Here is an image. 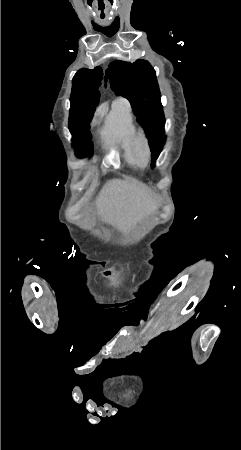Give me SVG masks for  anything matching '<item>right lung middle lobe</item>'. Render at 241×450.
<instances>
[{
	"mask_svg": "<svg viewBox=\"0 0 241 450\" xmlns=\"http://www.w3.org/2000/svg\"><path fill=\"white\" fill-rule=\"evenodd\" d=\"M101 78L87 72L76 73L72 80L71 108L69 115V129L71 133L79 117L86 112L94 113L99 102L100 93L98 87L101 85ZM78 157L92 155V143L82 150H76Z\"/></svg>",
	"mask_w": 241,
	"mask_h": 450,
	"instance_id": "obj_1",
	"label": "right lung middle lobe"
}]
</instances>
